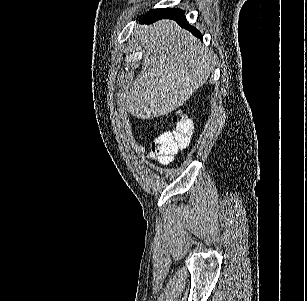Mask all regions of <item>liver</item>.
I'll use <instances>...</instances> for the list:
<instances>
[{
    "mask_svg": "<svg viewBox=\"0 0 307 301\" xmlns=\"http://www.w3.org/2000/svg\"><path fill=\"white\" fill-rule=\"evenodd\" d=\"M134 36L144 50L140 74L125 104L137 118H154L176 110L207 82L215 54L175 20L139 24Z\"/></svg>",
    "mask_w": 307,
    "mask_h": 301,
    "instance_id": "obj_1",
    "label": "liver"
}]
</instances>
